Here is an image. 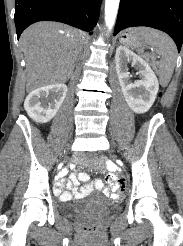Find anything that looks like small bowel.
<instances>
[{
    "instance_id": "c3829d8e",
    "label": "small bowel",
    "mask_w": 183,
    "mask_h": 246,
    "mask_svg": "<svg viewBox=\"0 0 183 246\" xmlns=\"http://www.w3.org/2000/svg\"><path fill=\"white\" fill-rule=\"evenodd\" d=\"M105 165L112 170V173L107 174L106 182L101 179L89 180L88 176L84 173H73L75 165H68V169H58V174L54 175L55 179H59L54 186V194L63 200H69L74 197H82L93 191L101 190L105 195L112 198H117L120 194L121 198L125 197L126 188L132 187V182H127L123 170L119 165H114V160H105ZM110 165V166H109ZM64 174H70L69 179H65ZM118 179V182L114 180ZM79 181L85 182L83 188H76Z\"/></svg>"
}]
</instances>
